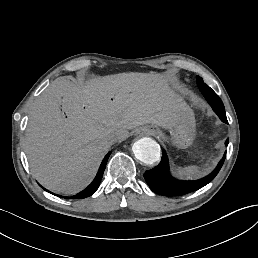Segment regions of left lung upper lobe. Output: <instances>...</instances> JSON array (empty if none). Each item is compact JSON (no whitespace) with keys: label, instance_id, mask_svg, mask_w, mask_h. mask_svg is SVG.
<instances>
[{"label":"left lung upper lobe","instance_id":"left-lung-upper-lobe-1","mask_svg":"<svg viewBox=\"0 0 258 258\" xmlns=\"http://www.w3.org/2000/svg\"><path fill=\"white\" fill-rule=\"evenodd\" d=\"M197 79H202V78H200V77H197Z\"/></svg>","mask_w":258,"mask_h":258}]
</instances>
